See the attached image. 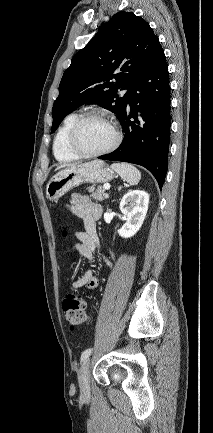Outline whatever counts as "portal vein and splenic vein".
<instances>
[{
	"label": "portal vein and splenic vein",
	"instance_id": "obj_1",
	"mask_svg": "<svg viewBox=\"0 0 213 433\" xmlns=\"http://www.w3.org/2000/svg\"><path fill=\"white\" fill-rule=\"evenodd\" d=\"M104 189L109 190L110 189V185L109 184H105L104 185Z\"/></svg>",
	"mask_w": 213,
	"mask_h": 433
}]
</instances>
